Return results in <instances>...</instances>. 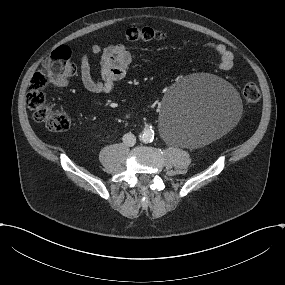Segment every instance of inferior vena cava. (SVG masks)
<instances>
[{
	"label": "inferior vena cava",
	"instance_id": "602c4592",
	"mask_svg": "<svg viewBox=\"0 0 285 285\" xmlns=\"http://www.w3.org/2000/svg\"><path fill=\"white\" fill-rule=\"evenodd\" d=\"M123 142L126 146H134L136 143V138L133 134L127 133L123 136Z\"/></svg>",
	"mask_w": 285,
	"mask_h": 285
}]
</instances>
